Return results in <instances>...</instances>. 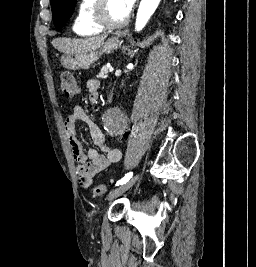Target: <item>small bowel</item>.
<instances>
[{"label": "small bowel", "instance_id": "1", "mask_svg": "<svg viewBox=\"0 0 256 267\" xmlns=\"http://www.w3.org/2000/svg\"><path fill=\"white\" fill-rule=\"evenodd\" d=\"M86 88L90 103H97L100 96V81L90 79L87 82ZM78 121L86 124L94 145L102 153L92 147L84 148L76 128ZM64 129L73 157L77 163L76 174L84 188H89L92 185L96 174L111 164L120 161L122 157L121 151L106 144L102 131L82 107L75 106L73 108L66 118Z\"/></svg>", "mask_w": 256, "mask_h": 267}]
</instances>
